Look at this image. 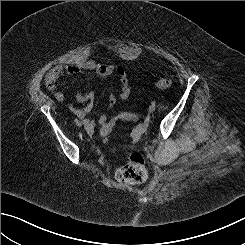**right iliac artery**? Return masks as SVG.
Here are the masks:
<instances>
[{
  "mask_svg": "<svg viewBox=\"0 0 245 245\" xmlns=\"http://www.w3.org/2000/svg\"><path fill=\"white\" fill-rule=\"evenodd\" d=\"M74 122L78 125L80 121L78 119H75Z\"/></svg>",
  "mask_w": 245,
  "mask_h": 245,
  "instance_id": "obj_1",
  "label": "right iliac artery"
}]
</instances>
